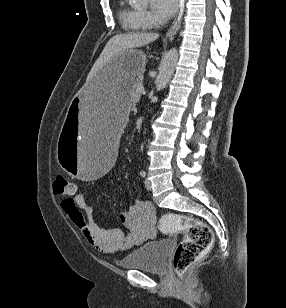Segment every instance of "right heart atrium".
Instances as JSON below:
<instances>
[{"label":"right heart atrium","instance_id":"right-heart-atrium-1","mask_svg":"<svg viewBox=\"0 0 286 308\" xmlns=\"http://www.w3.org/2000/svg\"><path fill=\"white\" fill-rule=\"evenodd\" d=\"M142 18H143V22L148 27H153L160 23V20L155 15H153L151 12H148V11L142 12Z\"/></svg>","mask_w":286,"mask_h":308}]
</instances>
